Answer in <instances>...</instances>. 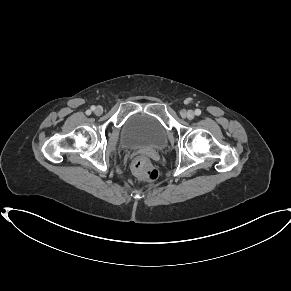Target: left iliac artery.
<instances>
[{
  "instance_id": "1",
  "label": "left iliac artery",
  "mask_w": 291,
  "mask_h": 291,
  "mask_svg": "<svg viewBox=\"0 0 291 291\" xmlns=\"http://www.w3.org/2000/svg\"><path fill=\"white\" fill-rule=\"evenodd\" d=\"M195 114H196L197 116H199V115L201 114V110H200V109H196V110H195Z\"/></svg>"
}]
</instances>
